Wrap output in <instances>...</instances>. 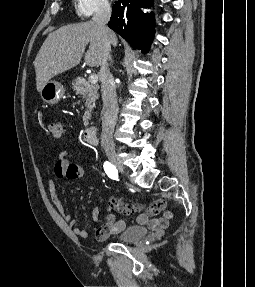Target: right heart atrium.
Returning <instances> with one entry per match:
<instances>
[{"mask_svg": "<svg viewBox=\"0 0 255 287\" xmlns=\"http://www.w3.org/2000/svg\"><path fill=\"white\" fill-rule=\"evenodd\" d=\"M62 48H83V47H62Z\"/></svg>", "mask_w": 255, "mask_h": 287, "instance_id": "1", "label": "right heart atrium"}]
</instances>
